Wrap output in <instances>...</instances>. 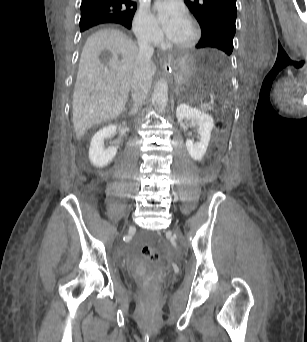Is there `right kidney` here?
<instances>
[{
	"label": "right kidney",
	"mask_w": 307,
	"mask_h": 342,
	"mask_svg": "<svg viewBox=\"0 0 307 342\" xmlns=\"http://www.w3.org/2000/svg\"><path fill=\"white\" fill-rule=\"evenodd\" d=\"M117 126H106L96 132L90 142L89 160L95 168H106L117 154V148H104L105 138H111L116 134Z\"/></svg>",
	"instance_id": "ca27d5eb"
}]
</instances>
